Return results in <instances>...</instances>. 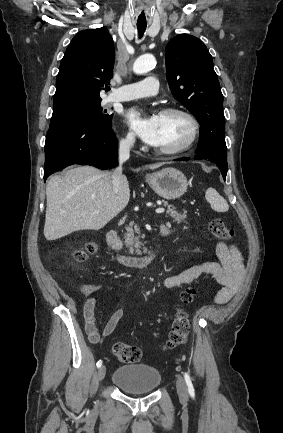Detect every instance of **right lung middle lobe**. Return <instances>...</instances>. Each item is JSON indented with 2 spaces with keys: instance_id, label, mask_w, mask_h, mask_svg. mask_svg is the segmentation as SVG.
I'll use <instances>...</instances> for the list:
<instances>
[{
  "instance_id": "1",
  "label": "right lung middle lobe",
  "mask_w": 283,
  "mask_h": 433,
  "mask_svg": "<svg viewBox=\"0 0 283 433\" xmlns=\"http://www.w3.org/2000/svg\"><path fill=\"white\" fill-rule=\"evenodd\" d=\"M100 103L101 101H95L53 112L50 123L70 120H90L109 124L112 121V115L106 114V110L103 111Z\"/></svg>"
}]
</instances>
